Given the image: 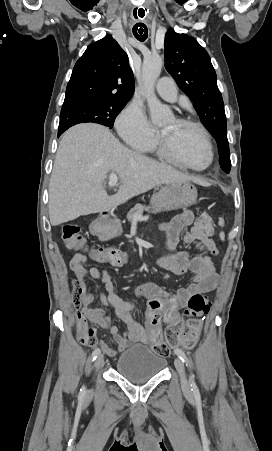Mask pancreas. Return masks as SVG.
<instances>
[{"mask_svg": "<svg viewBox=\"0 0 272 451\" xmlns=\"http://www.w3.org/2000/svg\"><path fill=\"white\" fill-rule=\"evenodd\" d=\"M143 212H153V214H156V212H159L157 208H151V206H142V204H136L130 212L127 214V220L128 222H133V218L135 214H143ZM111 229H114V231H118L120 229V224L116 222V226H110Z\"/></svg>", "mask_w": 272, "mask_h": 451, "instance_id": "pancreas-1", "label": "pancreas"}]
</instances>
